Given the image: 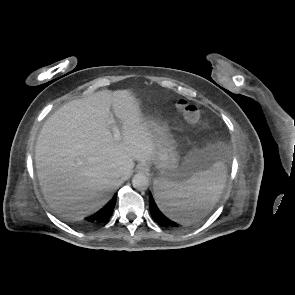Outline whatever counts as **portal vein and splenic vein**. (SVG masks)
Returning <instances> with one entry per match:
<instances>
[{
    "mask_svg": "<svg viewBox=\"0 0 295 295\" xmlns=\"http://www.w3.org/2000/svg\"><path fill=\"white\" fill-rule=\"evenodd\" d=\"M109 124L112 125V132H113L114 139L116 141L121 140V132H120L119 128L116 126L113 118H111L109 120Z\"/></svg>",
    "mask_w": 295,
    "mask_h": 295,
    "instance_id": "obj_1",
    "label": "portal vein and splenic vein"
}]
</instances>
